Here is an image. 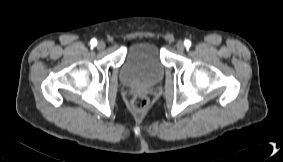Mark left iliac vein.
Here are the masks:
<instances>
[{"label": "left iliac vein", "instance_id": "1", "mask_svg": "<svg viewBox=\"0 0 283 162\" xmlns=\"http://www.w3.org/2000/svg\"><path fill=\"white\" fill-rule=\"evenodd\" d=\"M176 48L179 52H182L185 49V45L182 41H178L177 44H176Z\"/></svg>", "mask_w": 283, "mask_h": 162}]
</instances>
